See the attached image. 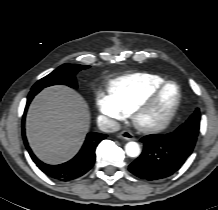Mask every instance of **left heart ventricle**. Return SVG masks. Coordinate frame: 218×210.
Instances as JSON below:
<instances>
[{
  "mask_svg": "<svg viewBox=\"0 0 218 210\" xmlns=\"http://www.w3.org/2000/svg\"><path fill=\"white\" fill-rule=\"evenodd\" d=\"M177 97V87L175 85H168L154 105L141 117V122L143 124H153L163 120L172 109Z\"/></svg>",
  "mask_w": 218,
  "mask_h": 210,
  "instance_id": "left-heart-ventricle-1",
  "label": "left heart ventricle"
}]
</instances>
